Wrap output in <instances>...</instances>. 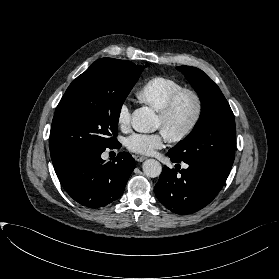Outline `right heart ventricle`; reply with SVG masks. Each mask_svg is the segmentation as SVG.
<instances>
[{"label": "right heart ventricle", "mask_w": 279, "mask_h": 279, "mask_svg": "<svg viewBox=\"0 0 279 279\" xmlns=\"http://www.w3.org/2000/svg\"><path fill=\"white\" fill-rule=\"evenodd\" d=\"M181 88L180 83L169 77L155 76L143 84L137 96L141 102L159 112L165 106L167 99Z\"/></svg>", "instance_id": "1"}]
</instances>
